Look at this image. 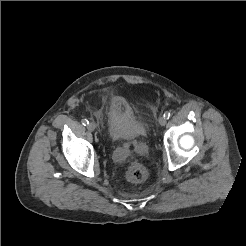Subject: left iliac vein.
<instances>
[{
	"mask_svg": "<svg viewBox=\"0 0 246 246\" xmlns=\"http://www.w3.org/2000/svg\"><path fill=\"white\" fill-rule=\"evenodd\" d=\"M158 122H159V124H160L161 126H164V125L167 123V119H166L165 117L161 116V117L159 118Z\"/></svg>",
	"mask_w": 246,
	"mask_h": 246,
	"instance_id": "left-iliac-vein-1",
	"label": "left iliac vein"
}]
</instances>
